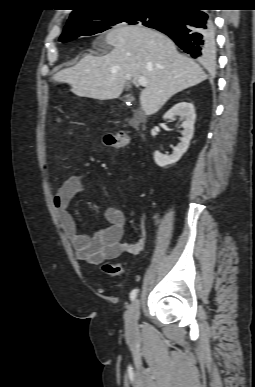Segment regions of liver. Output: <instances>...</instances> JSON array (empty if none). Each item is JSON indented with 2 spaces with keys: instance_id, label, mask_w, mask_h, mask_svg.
Instances as JSON below:
<instances>
[{
  "instance_id": "1",
  "label": "liver",
  "mask_w": 255,
  "mask_h": 387,
  "mask_svg": "<svg viewBox=\"0 0 255 387\" xmlns=\"http://www.w3.org/2000/svg\"><path fill=\"white\" fill-rule=\"evenodd\" d=\"M105 41L112 51L104 56L87 54L73 67L59 71L54 80L68 83L77 96L109 100L118 98L131 79L144 77L147 84L140 104L146 115H152L176 93L207 79L198 64L154 29L121 26L111 30Z\"/></svg>"
}]
</instances>
